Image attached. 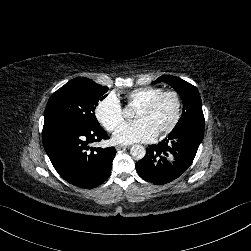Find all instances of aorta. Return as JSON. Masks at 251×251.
I'll use <instances>...</instances> for the list:
<instances>
[{
    "label": "aorta",
    "instance_id": "aorta-1",
    "mask_svg": "<svg viewBox=\"0 0 251 251\" xmlns=\"http://www.w3.org/2000/svg\"><path fill=\"white\" fill-rule=\"evenodd\" d=\"M130 154L137 159H141L145 156V148L140 144H134L130 148Z\"/></svg>",
    "mask_w": 251,
    "mask_h": 251
}]
</instances>
